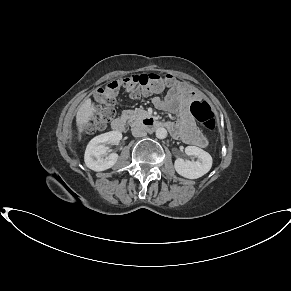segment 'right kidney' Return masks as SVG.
I'll return each instance as SVG.
<instances>
[{
	"instance_id": "ca27d5eb",
	"label": "right kidney",
	"mask_w": 291,
	"mask_h": 291,
	"mask_svg": "<svg viewBox=\"0 0 291 291\" xmlns=\"http://www.w3.org/2000/svg\"><path fill=\"white\" fill-rule=\"evenodd\" d=\"M121 139L122 133L119 131H110L94 137L85 151L84 160L86 166L96 172L104 171L114 166L119 156L116 153L107 155L109 147L105 143L116 144Z\"/></svg>"
}]
</instances>
